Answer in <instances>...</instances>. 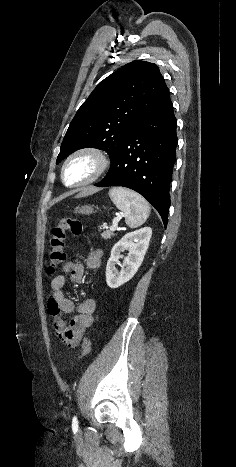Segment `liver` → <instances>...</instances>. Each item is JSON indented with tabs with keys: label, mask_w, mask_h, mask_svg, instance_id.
Here are the masks:
<instances>
[{
	"label": "liver",
	"mask_w": 236,
	"mask_h": 467,
	"mask_svg": "<svg viewBox=\"0 0 236 467\" xmlns=\"http://www.w3.org/2000/svg\"><path fill=\"white\" fill-rule=\"evenodd\" d=\"M97 191H98L97 188H84L79 194L76 195V198H81V197L93 194Z\"/></svg>",
	"instance_id": "liver-1"
}]
</instances>
